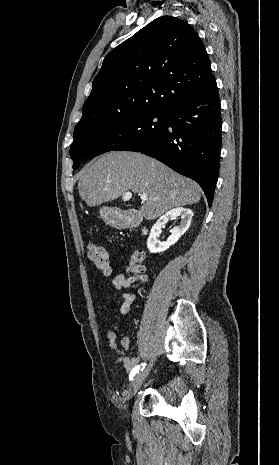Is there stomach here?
<instances>
[{"label": "stomach", "instance_id": "0dacf381", "mask_svg": "<svg viewBox=\"0 0 279 465\" xmlns=\"http://www.w3.org/2000/svg\"><path fill=\"white\" fill-rule=\"evenodd\" d=\"M100 215L115 228H124L128 225L126 216L117 208L103 207L100 209Z\"/></svg>", "mask_w": 279, "mask_h": 465}]
</instances>
